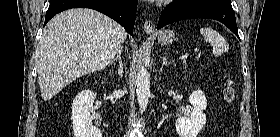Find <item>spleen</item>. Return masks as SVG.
Returning <instances> with one entry per match:
<instances>
[{"instance_id": "obj_1", "label": "spleen", "mask_w": 280, "mask_h": 137, "mask_svg": "<svg viewBox=\"0 0 280 137\" xmlns=\"http://www.w3.org/2000/svg\"><path fill=\"white\" fill-rule=\"evenodd\" d=\"M200 33L203 36L204 40L212 45V52L214 56L218 57L228 52L229 44L217 31H215L211 27H204L200 29Z\"/></svg>"}]
</instances>
